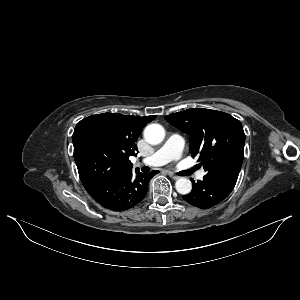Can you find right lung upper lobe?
<instances>
[{"label":"right lung upper lobe","instance_id":"cb5924a9","mask_svg":"<svg viewBox=\"0 0 300 300\" xmlns=\"http://www.w3.org/2000/svg\"><path fill=\"white\" fill-rule=\"evenodd\" d=\"M155 118V115L139 117L119 113H102L87 117L82 121L94 123L100 128L123 160L127 173L132 171L129 157L137 155L136 140L146 123Z\"/></svg>","mask_w":300,"mask_h":300}]
</instances>
